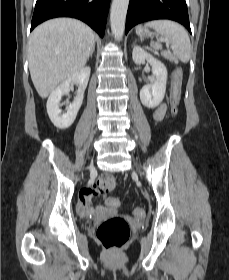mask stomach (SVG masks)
<instances>
[{
    "instance_id": "stomach-1",
    "label": "stomach",
    "mask_w": 229,
    "mask_h": 280,
    "mask_svg": "<svg viewBox=\"0 0 229 280\" xmlns=\"http://www.w3.org/2000/svg\"><path fill=\"white\" fill-rule=\"evenodd\" d=\"M136 34L141 38V39H144V38H147V37H150L151 36V32L145 28V27H142V26H137L136 27Z\"/></svg>"
}]
</instances>
